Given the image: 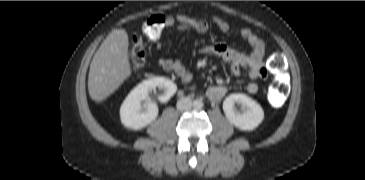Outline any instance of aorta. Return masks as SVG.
I'll return each instance as SVG.
<instances>
[{
	"label": "aorta",
	"mask_w": 365,
	"mask_h": 180,
	"mask_svg": "<svg viewBox=\"0 0 365 180\" xmlns=\"http://www.w3.org/2000/svg\"><path fill=\"white\" fill-rule=\"evenodd\" d=\"M192 105L196 110H200L203 108V102L199 99L194 100Z\"/></svg>",
	"instance_id": "obj_1"
}]
</instances>
